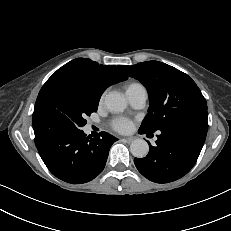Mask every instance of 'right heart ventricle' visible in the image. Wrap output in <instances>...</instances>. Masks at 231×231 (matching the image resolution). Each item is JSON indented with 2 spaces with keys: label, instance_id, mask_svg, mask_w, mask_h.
Returning <instances> with one entry per match:
<instances>
[{
  "label": "right heart ventricle",
  "instance_id": "right-heart-ventricle-1",
  "mask_svg": "<svg viewBox=\"0 0 231 231\" xmlns=\"http://www.w3.org/2000/svg\"><path fill=\"white\" fill-rule=\"evenodd\" d=\"M139 88H144V87L140 83H137V82L130 83L126 88V93L128 94Z\"/></svg>",
  "mask_w": 231,
  "mask_h": 231
}]
</instances>
